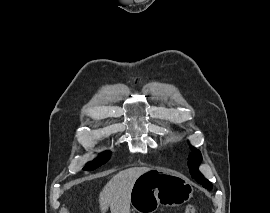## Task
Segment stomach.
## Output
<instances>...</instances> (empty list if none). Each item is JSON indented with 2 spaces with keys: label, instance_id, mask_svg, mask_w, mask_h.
Returning a JSON list of instances; mask_svg holds the SVG:
<instances>
[{
  "label": "stomach",
  "instance_id": "obj_1",
  "mask_svg": "<svg viewBox=\"0 0 270 213\" xmlns=\"http://www.w3.org/2000/svg\"><path fill=\"white\" fill-rule=\"evenodd\" d=\"M193 195L191 182L183 175L164 168H152L134 182L130 203L138 213H154L160 205L176 207Z\"/></svg>",
  "mask_w": 270,
  "mask_h": 213
}]
</instances>
